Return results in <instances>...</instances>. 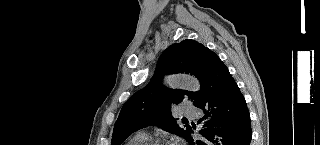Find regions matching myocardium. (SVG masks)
Returning a JSON list of instances; mask_svg holds the SVG:
<instances>
[{"instance_id":"myocardium-1","label":"myocardium","mask_w":320,"mask_h":145,"mask_svg":"<svg viewBox=\"0 0 320 145\" xmlns=\"http://www.w3.org/2000/svg\"><path fill=\"white\" fill-rule=\"evenodd\" d=\"M143 145H165V142L161 140H150L146 141Z\"/></svg>"}]
</instances>
